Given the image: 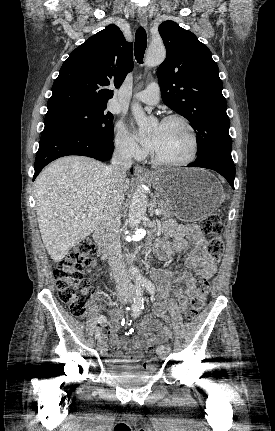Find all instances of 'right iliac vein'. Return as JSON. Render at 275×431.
Here are the masks:
<instances>
[{"label": "right iliac vein", "mask_w": 275, "mask_h": 431, "mask_svg": "<svg viewBox=\"0 0 275 431\" xmlns=\"http://www.w3.org/2000/svg\"><path fill=\"white\" fill-rule=\"evenodd\" d=\"M119 300L122 304H126L132 300V296L126 293H119ZM101 336V328L95 329V339H99Z\"/></svg>", "instance_id": "63e3f726"}]
</instances>
